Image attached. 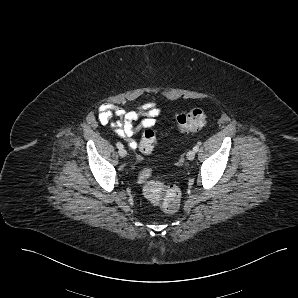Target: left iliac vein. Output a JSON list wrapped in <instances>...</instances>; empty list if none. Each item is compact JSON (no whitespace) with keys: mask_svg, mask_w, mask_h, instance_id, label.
Masks as SVG:
<instances>
[{"mask_svg":"<svg viewBox=\"0 0 298 298\" xmlns=\"http://www.w3.org/2000/svg\"><path fill=\"white\" fill-rule=\"evenodd\" d=\"M195 158V151L194 150H189L187 153V159L188 160H193Z\"/></svg>","mask_w":298,"mask_h":298,"instance_id":"obj_1","label":"left iliac vein"}]
</instances>
